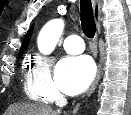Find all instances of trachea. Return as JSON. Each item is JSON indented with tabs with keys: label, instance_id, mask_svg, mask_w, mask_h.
I'll use <instances>...</instances> for the list:
<instances>
[{
	"label": "trachea",
	"instance_id": "3493384b",
	"mask_svg": "<svg viewBox=\"0 0 131 115\" xmlns=\"http://www.w3.org/2000/svg\"><path fill=\"white\" fill-rule=\"evenodd\" d=\"M80 10L82 30L86 37L92 39L96 32V24L94 21L91 0H81Z\"/></svg>",
	"mask_w": 131,
	"mask_h": 115
}]
</instances>
